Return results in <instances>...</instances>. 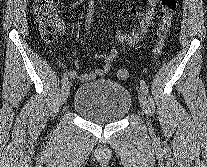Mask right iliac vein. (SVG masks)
<instances>
[{"label": "right iliac vein", "instance_id": "right-iliac-vein-1", "mask_svg": "<svg viewBox=\"0 0 207 167\" xmlns=\"http://www.w3.org/2000/svg\"><path fill=\"white\" fill-rule=\"evenodd\" d=\"M70 87H71V83L69 81H67L61 90V94H60V105L64 104L69 96L70 93Z\"/></svg>", "mask_w": 207, "mask_h": 167}]
</instances>
